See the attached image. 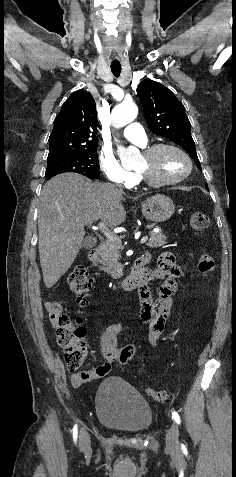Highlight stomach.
Here are the masks:
<instances>
[{
	"label": "stomach",
	"instance_id": "obj_1",
	"mask_svg": "<svg viewBox=\"0 0 236 477\" xmlns=\"http://www.w3.org/2000/svg\"><path fill=\"white\" fill-rule=\"evenodd\" d=\"M142 214L153 222L159 223L168 220L175 211L173 201L161 194L148 198L141 204Z\"/></svg>",
	"mask_w": 236,
	"mask_h": 477
}]
</instances>
